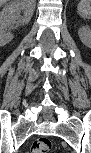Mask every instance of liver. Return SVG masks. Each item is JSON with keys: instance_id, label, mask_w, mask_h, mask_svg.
<instances>
[{"instance_id": "obj_1", "label": "liver", "mask_w": 91, "mask_h": 153, "mask_svg": "<svg viewBox=\"0 0 91 153\" xmlns=\"http://www.w3.org/2000/svg\"><path fill=\"white\" fill-rule=\"evenodd\" d=\"M30 1V0H29ZM7 2V0H1V4H4V3H6ZM30 3L31 4H35V1L34 0H32V1H30Z\"/></svg>"}]
</instances>
